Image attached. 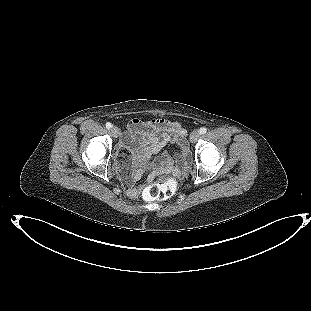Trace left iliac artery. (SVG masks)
I'll use <instances>...</instances> for the list:
<instances>
[{
  "instance_id": "obj_1",
  "label": "left iliac artery",
  "mask_w": 311,
  "mask_h": 311,
  "mask_svg": "<svg viewBox=\"0 0 311 311\" xmlns=\"http://www.w3.org/2000/svg\"><path fill=\"white\" fill-rule=\"evenodd\" d=\"M206 131H207V129L205 127H201L199 130L200 134H204V133H206Z\"/></svg>"
}]
</instances>
